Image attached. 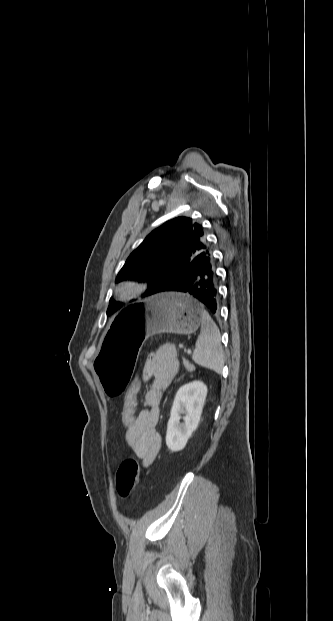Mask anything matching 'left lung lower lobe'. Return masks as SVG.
Instances as JSON below:
<instances>
[{"label":"left lung lower lobe","mask_w":333,"mask_h":621,"mask_svg":"<svg viewBox=\"0 0 333 621\" xmlns=\"http://www.w3.org/2000/svg\"><path fill=\"white\" fill-rule=\"evenodd\" d=\"M170 291L188 293L204 304L211 313L218 314L216 274L210 248H205L196 255L186 270L170 280L160 293Z\"/></svg>","instance_id":"1"}]
</instances>
